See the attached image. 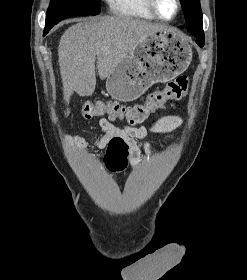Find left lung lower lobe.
<instances>
[{"label":"left lung lower lobe","instance_id":"1","mask_svg":"<svg viewBox=\"0 0 247 280\" xmlns=\"http://www.w3.org/2000/svg\"><path fill=\"white\" fill-rule=\"evenodd\" d=\"M189 31V30H188ZM191 32V31H189ZM192 35L196 38V43L200 46V47H203L204 45V36H201V35H198V34H195L194 32H191Z\"/></svg>","mask_w":247,"mask_h":280}]
</instances>
